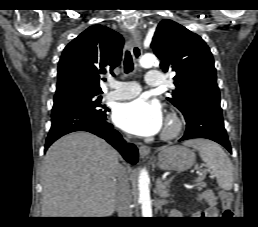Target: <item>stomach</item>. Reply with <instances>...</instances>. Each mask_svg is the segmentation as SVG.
<instances>
[{"mask_svg":"<svg viewBox=\"0 0 258 227\" xmlns=\"http://www.w3.org/2000/svg\"><path fill=\"white\" fill-rule=\"evenodd\" d=\"M195 153L184 146L163 148L157 157V166L162 170L185 171L195 164Z\"/></svg>","mask_w":258,"mask_h":227,"instance_id":"0dacf381","label":"stomach"}]
</instances>
